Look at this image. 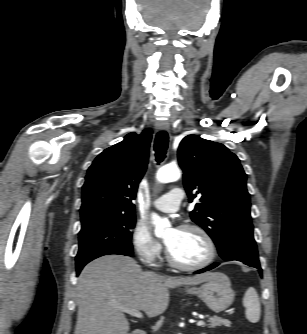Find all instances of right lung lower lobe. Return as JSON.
Segmentation results:
<instances>
[{
	"instance_id": "right-lung-lower-lobe-1",
	"label": "right lung lower lobe",
	"mask_w": 307,
	"mask_h": 334,
	"mask_svg": "<svg viewBox=\"0 0 307 334\" xmlns=\"http://www.w3.org/2000/svg\"><path fill=\"white\" fill-rule=\"evenodd\" d=\"M117 254L125 255V253H123V252H119V253H117ZM82 268H83V267H79V268H77V272H76L77 275H79V273H80V271L82 270Z\"/></svg>"
}]
</instances>
